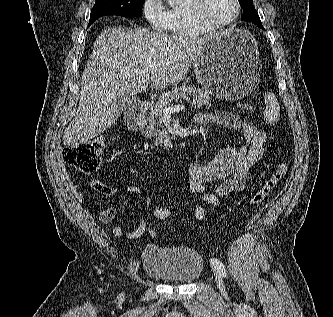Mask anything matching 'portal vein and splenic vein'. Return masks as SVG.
Returning a JSON list of instances; mask_svg holds the SVG:
<instances>
[{
	"label": "portal vein and splenic vein",
	"instance_id": "portal-vein-and-splenic-vein-1",
	"mask_svg": "<svg viewBox=\"0 0 333 317\" xmlns=\"http://www.w3.org/2000/svg\"><path fill=\"white\" fill-rule=\"evenodd\" d=\"M154 67L157 66V64H153ZM185 106L180 104V105H175V106H165L163 109V115H170L171 113L178 112L182 109H184Z\"/></svg>",
	"mask_w": 333,
	"mask_h": 317
}]
</instances>
